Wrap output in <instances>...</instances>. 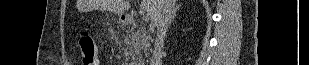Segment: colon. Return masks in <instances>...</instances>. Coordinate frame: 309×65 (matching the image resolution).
I'll list each match as a JSON object with an SVG mask.
<instances>
[{
	"label": "colon",
	"instance_id": "obj_1",
	"mask_svg": "<svg viewBox=\"0 0 309 65\" xmlns=\"http://www.w3.org/2000/svg\"><path fill=\"white\" fill-rule=\"evenodd\" d=\"M80 49L82 52V63L84 65H96L99 60V54L93 37L84 32L79 40Z\"/></svg>",
	"mask_w": 309,
	"mask_h": 65
}]
</instances>
